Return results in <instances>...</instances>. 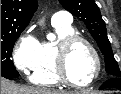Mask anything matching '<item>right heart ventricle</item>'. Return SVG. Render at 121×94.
<instances>
[{"mask_svg":"<svg viewBox=\"0 0 121 94\" xmlns=\"http://www.w3.org/2000/svg\"><path fill=\"white\" fill-rule=\"evenodd\" d=\"M53 27L57 38L54 41L39 43L37 61L30 77L33 83L40 86L54 87L62 84L56 75V45L60 39L74 34L71 23L63 24L53 22Z\"/></svg>","mask_w":121,"mask_h":94,"instance_id":"obj_1","label":"right heart ventricle"}]
</instances>
